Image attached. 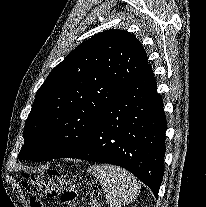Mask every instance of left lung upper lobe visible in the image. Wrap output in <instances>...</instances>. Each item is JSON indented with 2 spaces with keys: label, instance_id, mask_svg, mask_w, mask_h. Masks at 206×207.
I'll return each instance as SVG.
<instances>
[{
  "label": "left lung upper lobe",
  "instance_id": "5c2ea615",
  "mask_svg": "<svg viewBox=\"0 0 206 207\" xmlns=\"http://www.w3.org/2000/svg\"><path fill=\"white\" fill-rule=\"evenodd\" d=\"M147 65L139 40L123 30H107L80 44L38 89L18 158H64L83 147L109 105Z\"/></svg>",
  "mask_w": 206,
  "mask_h": 207
}]
</instances>
